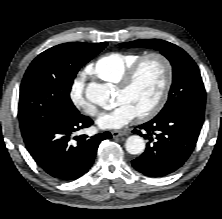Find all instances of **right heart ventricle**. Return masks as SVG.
Instances as JSON below:
<instances>
[{"mask_svg":"<svg viewBox=\"0 0 222 219\" xmlns=\"http://www.w3.org/2000/svg\"><path fill=\"white\" fill-rule=\"evenodd\" d=\"M143 55L142 52H109L90 64L87 71L102 81L117 84L126 70Z\"/></svg>","mask_w":222,"mask_h":219,"instance_id":"1","label":"right heart ventricle"}]
</instances>
